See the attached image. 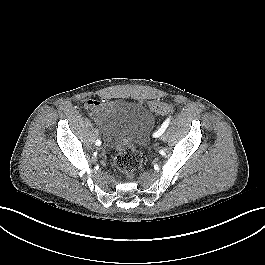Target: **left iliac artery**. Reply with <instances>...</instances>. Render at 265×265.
<instances>
[{
  "instance_id": "1",
  "label": "left iliac artery",
  "mask_w": 265,
  "mask_h": 265,
  "mask_svg": "<svg viewBox=\"0 0 265 265\" xmlns=\"http://www.w3.org/2000/svg\"><path fill=\"white\" fill-rule=\"evenodd\" d=\"M169 123H170V118H167L163 122V124L161 125V127L153 134V137H159V136H161L165 132V130L168 127Z\"/></svg>"
}]
</instances>
